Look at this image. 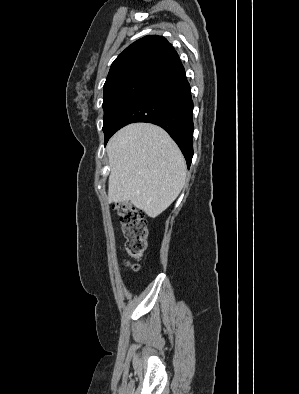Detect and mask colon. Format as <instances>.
<instances>
[{
	"label": "colon",
	"instance_id": "5ec220e1",
	"mask_svg": "<svg viewBox=\"0 0 299 394\" xmlns=\"http://www.w3.org/2000/svg\"><path fill=\"white\" fill-rule=\"evenodd\" d=\"M114 209L120 218L126 239L125 249L129 257L127 263L133 270H138V261L146 248V221L142 212L130 204H116Z\"/></svg>",
	"mask_w": 299,
	"mask_h": 394
}]
</instances>
